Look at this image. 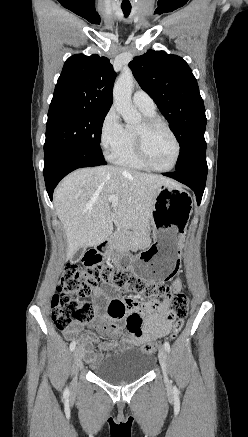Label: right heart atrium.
Instances as JSON below:
<instances>
[{"mask_svg": "<svg viewBox=\"0 0 248 437\" xmlns=\"http://www.w3.org/2000/svg\"><path fill=\"white\" fill-rule=\"evenodd\" d=\"M100 145L109 159H114L126 142V129L115 108H110L100 126Z\"/></svg>", "mask_w": 248, "mask_h": 437, "instance_id": "right-heart-atrium-1", "label": "right heart atrium"}]
</instances>
